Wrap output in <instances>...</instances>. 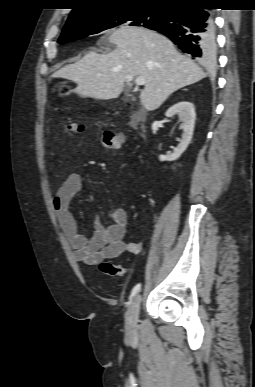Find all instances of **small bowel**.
<instances>
[{
    "label": "small bowel",
    "instance_id": "1",
    "mask_svg": "<svg viewBox=\"0 0 255 387\" xmlns=\"http://www.w3.org/2000/svg\"><path fill=\"white\" fill-rule=\"evenodd\" d=\"M82 188V178L78 173L69 174L53 197V209L58 225L74 250L76 261L86 265H97L124 253H139L141 242L126 241L128 213L118 207L109 211L108 224L98 217L91 237L78 231L76 221L69 210L70 202Z\"/></svg>",
    "mask_w": 255,
    "mask_h": 387
}]
</instances>
